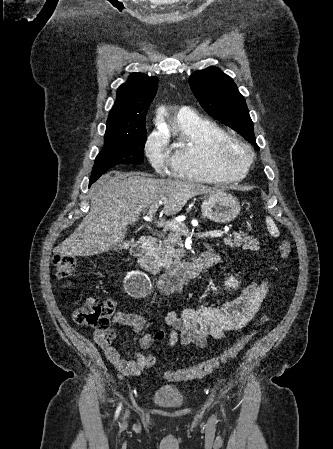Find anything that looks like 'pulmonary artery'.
Returning a JSON list of instances; mask_svg holds the SVG:
<instances>
[{"instance_id":"pulmonary-artery-1","label":"pulmonary artery","mask_w":333,"mask_h":449,"mask_svg":"<svg viewBox=\"0 0 333 449\" xmlns=\"http://www.w3.org/2000/svg\"><path fill=\"white\" fill-rule=\"evenodd\" d=\"M196 118L195 113L186 106H183L179 109L176 115L177 121H190Z\"/></svg>"}]
</instances>
